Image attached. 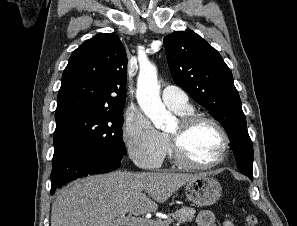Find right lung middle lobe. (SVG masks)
<instances>
[{
	"mask_svg": "<svg viewBox=\"0 0 297 226\" xmlns=\"http://www.w3.org/2000/svg\"><path fill=\"white\" fill-rule=\"evenodd\" d=\"M123 111L81 112L56 120L54 146L88 144L125 155Z\"/></svg>",
	"mask_w": 297,
	"mask_h": 226,
	"instance_id": "obj_1",
	"label": "right lung middle lobe"
}]
</instances>
